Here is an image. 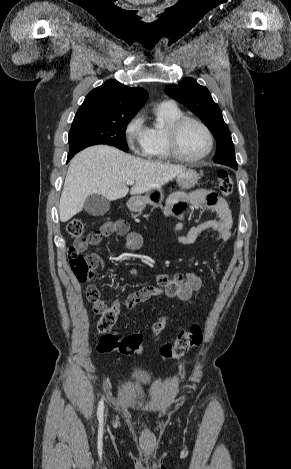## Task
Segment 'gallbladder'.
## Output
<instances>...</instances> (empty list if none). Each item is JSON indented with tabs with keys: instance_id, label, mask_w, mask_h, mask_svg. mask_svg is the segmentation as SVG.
<instances>
[{
	"instance_id": "1",
	"label": "gallbladder",
	"mask_w": 291,
	"mask_h": 469,
	"mask_svg": "<svg viewBox=\"0 0 291 469\" xmlns=\"http://www.w3.org/2000/svg\"><path fill=\"white\" fill-rule=\"evenodd\" d=\"M110 208V202L100 194H91L84 202V210L92 216H102Z\"/></svg>"
}]
</instances>
